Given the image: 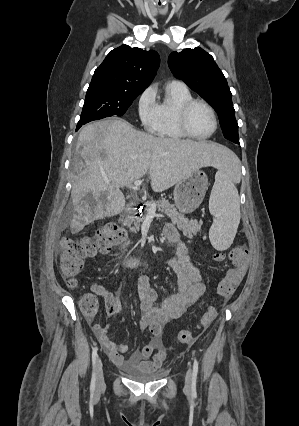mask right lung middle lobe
Returning a JSON list of instances; mask_svg holds the SVG:
<instances>
[{
	"label": "right lung middle lobe",
	"mask_w": 299,
	"mask_h": 426,
	"mask_svg": "<svg viewBox=\"0 0 299 426\" xmlns=\"http://www.w3.org/2000/svg\"><path fill=\"white\" fill-rule=\"evenodd\" d=\"M141 93L101 85L89 86L79 122L122 116Z\"/></svg>",
	"instance_id": "1"
}]
</instances>
